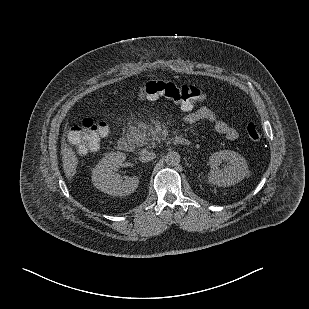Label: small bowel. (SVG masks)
I'll use <instances>...</instances> for the list:
<instances>
[{"label":"small bowel","mask_w":309,"mask_h":309,"mask_svg":"<svg viewBox=\"0 0 309 309\" xmlns=\"http://www.w3.org/2000/svg\"><path fill=\"white\" fill-rule=\"evenodd\" d=\"M178 105L180 110L186 113L185 121L188 124H194L200 121H208L213 123L216 132L224 135L228 140H235L238 137L237 131L224 121L217 119L215 113L211 109L207 107H201L199 109L194 110L193 105L190 106H185L183 104ZM97 146L88 145L86 146V148L83 149V152L94 150Z\"/></svg>","instance_id":"1"}]
</instances>
